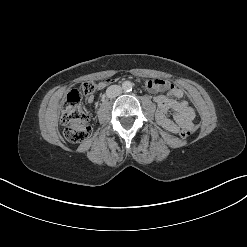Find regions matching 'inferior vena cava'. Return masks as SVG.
Here are the masks:
<instances>
[{"label": "inferior vena cava", "mask_w": 247, "mask_h": 247, "mask_svg": "<svg viewBox=\"0 0 247 247\" xmlns=\"http://www.w3.org/2000/svg\"><path fill=\"white\" fill-rule=\"evenodd\" d=\"M122 93V88L119 85H111L106 90V95L108 98H115Z\"/></svg>", "instance_id": "1"}]
</instances>
